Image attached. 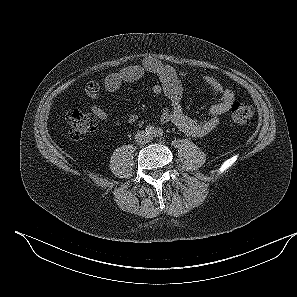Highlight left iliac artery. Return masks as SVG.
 <instances>
[{"instance_id":"obj_1","label":"left iliac artery","mask_w":297,"mask_h":297,"mask_svg":"<svg viewBox=\"0 0 297 297\" xmlns=\"http://www.w3.org/2000/svg\"><path fill=\"white\" fill-rule=\"evenodd\" d=\"M155 136L161 137L163 135V130L161 128H157L154 132Z\"/></svg>"}]
</instances>
